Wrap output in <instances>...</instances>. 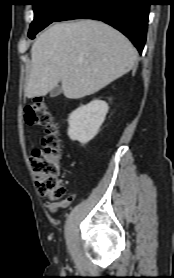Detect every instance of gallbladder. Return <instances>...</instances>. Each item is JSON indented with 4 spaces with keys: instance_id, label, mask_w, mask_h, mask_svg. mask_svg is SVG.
I'll use <instances>...</instances> for the list:
<instances>
[{
    "instance_id": "gallbladder-1",
    "label": "gallbladder",
    "mask_w": 174,
    "mask_h": 278,
    "mask_svg": "<svg viewBox=\"0 0 174 278\" xmlns=\"http://www.w3.org/2000/svg\"><path fill=\"white\" fill-rule=\"evenodd\" d=\"M61 87L59 85H57L54 89H52L50 91V96L51 97H57L61 94Z\"/></svg>"
}]
</instances>
